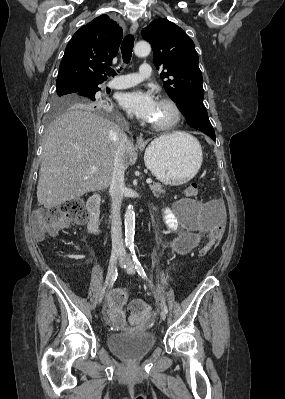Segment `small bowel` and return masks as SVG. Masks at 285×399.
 <instances>
[{
	"mask_svg": "<svg viewBox=\"0 0 285 399\" xmlns=\"http://www.w3.org/2000/svg\"><path fill=\"white\" fill-rule=\"evenodd\" d=\"M180 216L184 221L174 215H165L164 217L169 231L182 233L176 240L175 251L179 254L186 253L195 247L203 235L213 236L218 233L222 236L224 233V216L219 200H212L203 206L193 203ZM126 300L127 293L123 289L111 291L107 298L103 316L114 329H126L124 310ZM140 322L139 318L134 321V324L139 325Z\"/></svg>",
	"mask_w": 285,
	"mask_h": 399,
	"instance_id": "c3829d8e",
	"label": "small bowel"
}]
</instances>
